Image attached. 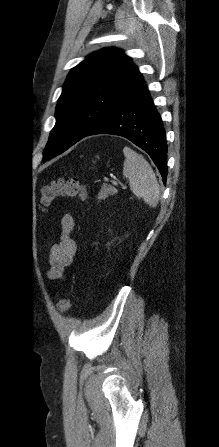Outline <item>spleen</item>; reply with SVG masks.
<instances>
[{
	"instance_id": "spleen-1",
	"label": "spleen",
	"mask_w": 219,
	"mask_h": 447,
	"mask_svg": "<svg viewBox=\"0 0 219 447\" xmlns=\"http://www.w3.org/2000/svg\"><path fill=\"white\" fill-rule=\"evenodd\" d=\"M123 175L129 180L133 194L142 198L150 207L159 201V185L156 176L144 157L129 147H124Z\"/></svg>"
}]
</instances>
